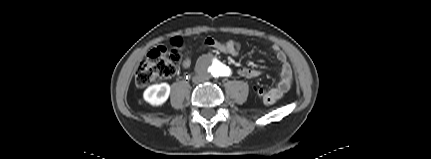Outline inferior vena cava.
<instances>
[{
    "label": "inferior vena cava",
    "mask_w": 431,
    "mask_h": 159,
    "mask_svg": "<svg viewBox=\"0 0 431 159\" xmlns=\"http://www.w3.org/2000/svg\"><path fill=\"white\" fill-rule=\"evenodd\" d=\"M194 83H200L207 80V76L205 74H197L192 78Z\"/></svg>",
    "instance_id": "inferior-vena-cava-1"
}]
</instances>
